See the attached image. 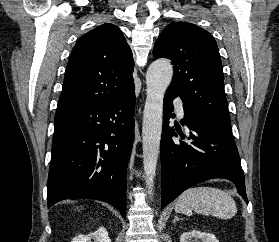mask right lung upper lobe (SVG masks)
<instances>
[{
  "label": "right lung upper lobe",
  "instance_id": "obj_1",
  "mask_svg": "<svg viewBox=\"0 0 279 242\" xmlns=\"http://www.w3.org/2000/svg\"><path fill=\"white\" fill-rule=\"evenodd\" d=\"M133 71L132 51L117 26L89 31L71 52L56 114L126 97L135 90Z\"/></svg>",
  "mask_w": 279,
  "mask_h": 242
}]
</instances>
